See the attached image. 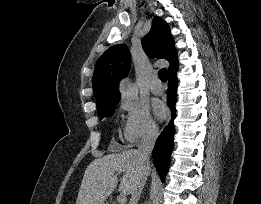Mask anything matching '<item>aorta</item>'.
Listing matches in <instances>:
<instances>
[{
  "mask_svg": "<svg viewBox=\"0 0 261 204\" xmlns=\"http://www.w3.org/2000/svg\"><path fill=\"white\" fill-rule=\"evenodd\" d=\"M121 93L124 97L132 99L137 96V89L128 79H126L121 85Z\"/></svg>",
  "mask_w": 261,
  "mask_h": 204,
  "instance_id": "aorta-1",
  "label": "aorta"
}]
</instances>
